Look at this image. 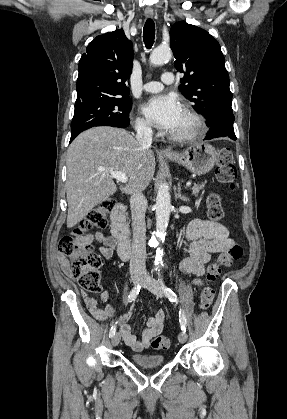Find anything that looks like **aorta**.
<instances>
[{
	"mask_svg": "<svg viewBox=\"0 0 287 419\" xmlns=\"http://www.w3.org/2000/svg\"><path fill=\"white\" fill-rule=\"evenodd\" d=\"M172 57V53L169 47H157L155 48L149 58L150 64L152 65H161L164 62L170 60ZM156 235L159 241H163L166 235V230L168 227L170 213L172 210L171 205V196L169 193L167 183L163 182L158 187L156 204ZM163 255V250L160 248L157 250V256L155 263L161 260Z\"/></svg>",
	"mask_w": 287,
	"mask_h": 419,
	"instance_id": "1",
	"label": "aorta"
}]
</instances>
